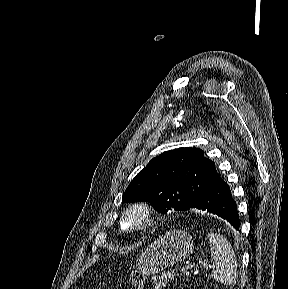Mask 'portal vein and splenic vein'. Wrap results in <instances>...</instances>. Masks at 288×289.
I'll return each instance as SVG.
<instances>
[{
    "label": "portal vein and splenic vein",
    "mask_w": 288,
    "mask_h": 289,
    "mask_svg": "<svg viewBox=\"0 0 288 289\" xmlns=\"http://www.w3.org/2000/svg\"><path fill=\"white\" fill-rule=\"evenodd\" d=\"M206 266L209 267V268H211V265L206 264ZM188 271H189V262H186V264L181 268L180 272L183 273V274H185V273H187ZM168 275H169V277H171V276H172V273H169Z\"/></svg>",
    "instance_id": "obj_1"
}]
</instances>
